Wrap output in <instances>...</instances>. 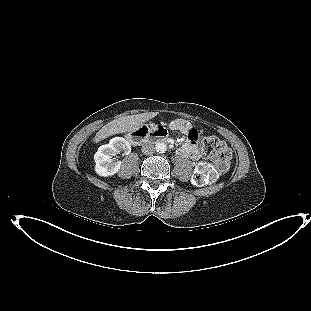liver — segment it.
I'll return each mask as SVG.
<instances>
[{"mask_svg":"<svg viewBox=\"0 0 311 311\" xmlns=\"http://www.w3.org/2000/svg\"><path fill=\"white\" fill-rule=\"evenodd\" d=\"M155 116L156 113L151 112V113L130 115L115 119L106 124L105 126H103L96 133L94 141L99 142L115 134L136 131L143 123L147 122L149 119Z\"/></svg>","mask_w":311,"mask_h":311,"instance_id":"liver-1","label":"liver"}]
</instances>
